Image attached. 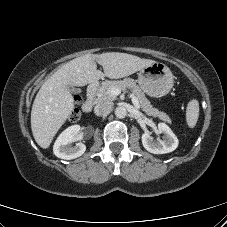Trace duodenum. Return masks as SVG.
I'll use <instances>...</instances> for the list:
<instances>
[{
  "label": "duodenum",
  "instance_id": "1",
  "mask_svg": "<svg viewBox=\"0 0 227 227\" xmlns=\"http://www.w3.org/2000/svg\"><path fill=\"white\" fill-rule=\"evenodd\" d=\"M99 81L95 80L93 81L87 88L86 98L83 103V111L84 112H90L96 99V90L98 87Z\"/></svg>",
  "mask_w": 227,
  "mask_h": 227
}]
</instances>
